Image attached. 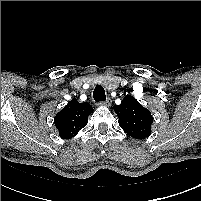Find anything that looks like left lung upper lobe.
<instances>
[{
	"mask_svg": "<svg viewBox=\"0 0 201 201\" xmlns=\"http://www.w3.org/2000/svg\"><path fill=\"white\" fill-rule=\"evenodd\" d=\"M120 127L131 137L143 139L151 134L153 117L133 96L127 95L120 105H114Z\"/></svg>",
	"mask_w": 201,
	"mask_h": 201,
	"instance_id": "obj_1",
	"label": "left lung upper lobe"
}]
</instances>
